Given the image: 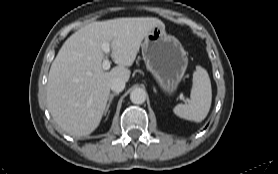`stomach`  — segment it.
Listing matches in <instances>:
<instances>
[{
    "label": "stomach",
    "mask_w": 278,
    "mask_h": 174,
    "mask_svg": "<svg viewBox=\"0 0 278 174\" xmlns=\"http://www.w3.org/2000/svg\"><path fill=\"white\" fill-rule=\"evenodd\" d=\"M141 48L146 67L160 87L169 94L174 93L188 65L180 41L168 34L164 26H156L145 36Z\"/></svg>",
    "instance_id": "1"
}]
</instances>
